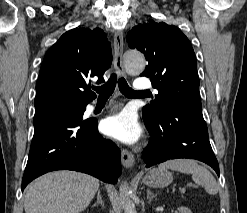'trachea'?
<instances>
[{
	"label": "trachea",
	"mask_w": 247,
	"mask_h": 213,
	"mask_svg": "<svg viewBox=\"0 0 247 213\" xmlns=\"http://www.w3.org/2000/svg\"><path fill=\"white\" fill-rule=\"evenodd\" d=\"M117 82L120 92L125 96H133L142 93L134 91L132 88H130L123 77L119 78L117 81V75L112 74L104 85L94 88V90L99 94V99H108L114 92Z\"/></svg>",
	"instance_id": "3493384b"
}]
</instances>
